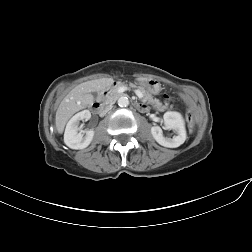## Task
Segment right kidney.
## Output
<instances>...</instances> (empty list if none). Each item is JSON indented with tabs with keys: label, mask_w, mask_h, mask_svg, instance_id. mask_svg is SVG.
<instances>
[{
	"label": "right kidney",
	"mask_w": 252,
	"mask_h": 252,
	"mask_svg": "<svg viewBox=\"0 0 252 252\" xmlns=\"http://www.w3.org/2000/svg\"><path fill=\"white\" fill-rule=\"evenodd\" d=\"M91 113L89 110H83L75 114L67 123L64 132V143L72 149H84L91 143L94 130L79 131V123L81 120H89Z\"/></svg>",
	"instance_id": "right-kidney-1"
}]
</instances>
